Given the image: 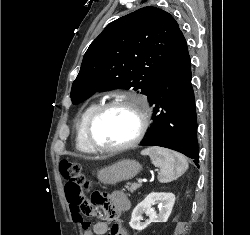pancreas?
Instances as JSON below:
<instances>
[{
	"label": "pancreas",
	"mask_w": 250,
	"mask_h": 235,
	"mask_svg": "<svg viewBox=\"0 0 250 235\" xmlns=\"http://www.w3.org/2000/svg\"><path fill=\"white\" fill-rule=\"evenodd\" d=\"M140 186H141L140 184L132 183L130 184V186H126V188L132 193L138 188H140Z\"/></svg>",
	"instance_id": "cf45deb5"
}]
</instances>
